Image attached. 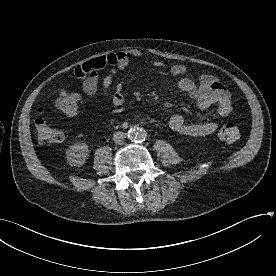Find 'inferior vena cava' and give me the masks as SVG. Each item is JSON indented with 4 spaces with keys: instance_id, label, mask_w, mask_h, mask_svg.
I'll use <instances>...</instances> for the list:
<instances>
[{
    "instance_id": "1",
    "label": "inferior vena cava",
    "mask_w": 276,
    "mask_h": 276,
    "mask_svg": "<svg viewBox=\"0 0 276 276\" xmlns=\"http://www.w3.org/2000/svg\"><path fill=\"white\" fill-rule=\"evenodd\" d=\"M113 140L116 144H123L125 140V133L124 132H115L113 135Z\"/></svg>"
}]
</instances>
